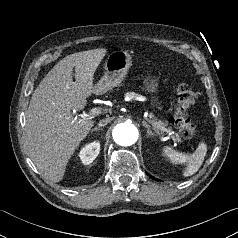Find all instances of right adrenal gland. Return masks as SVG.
Wrapping results in <instances>:
<instances>
[{
	"mask_svg": "<svg viewBox=\"0 0 238 238\" xmlns=\"http://www.w3.org/2000/svg\"><path fill=\"white\" fill-rule=\"evenodd\" d=\"M99 130H103L102 128H99V127H95L91 130V133H93L94 131H99Z\"/></svg>",
	"mask_w": 238,
	"mask_h": 238,
	"instance_id": "1",
	"label": "right adrenal gland"
}]
</instances>
